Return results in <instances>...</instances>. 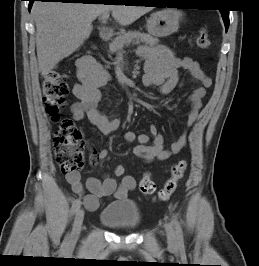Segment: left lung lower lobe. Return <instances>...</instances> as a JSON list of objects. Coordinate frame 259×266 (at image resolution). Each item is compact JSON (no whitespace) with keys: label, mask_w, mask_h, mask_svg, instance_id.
Instances as JSON below:
<instances>
[{"label":"left lung lower lobe","mask_w":259,"mask_h":266,"mask_svg":"<svg viewBox=\"0 0 259 266\" xmlns=\"http://www.w3.org/2000/svg\"><path fill=\"white\" fill-rule=\"evenodd\" d=\"M221 13H222V18H223V21H224V24H225V28H226V31L228 29V26H229V11L228 10H220Z\"/></svg>","instance_id":"obj_1"}]
</instances>
